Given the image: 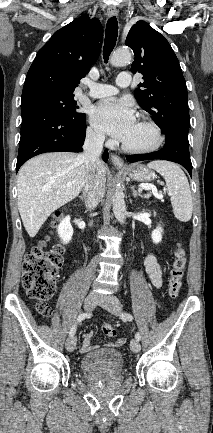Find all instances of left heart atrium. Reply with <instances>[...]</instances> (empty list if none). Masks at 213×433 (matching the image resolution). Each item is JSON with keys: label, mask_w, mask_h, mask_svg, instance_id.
Wrapping results in <instances>:
<instances>
[{"label": "left heart atrium", "mask_w": 213, "mask_h": 433, "mask_svg": "<svg viewBox=\"0 0 213 433\" xmlns=\"http://www.w3.org/2000/svg\"><path fill=\"white\" fill-rule=\"evenodd\" d=\"M91 122L117 140L124 141L134 127L136 119L128 102L107 99L93 109Z\"/></svg>", "instance_id": "39dd6f15"}]
</instances>
